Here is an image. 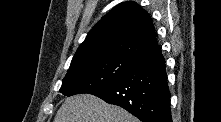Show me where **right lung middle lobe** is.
<instances>
[{
	"label": "right lung middle lobe",
	"mask_w": 221,
	"mask_h": 122,
	"mask_svg": "<svg viewBox=\"0 0 221 122\" xmlns=\"http://www.w3.org/2000/svg\"><path fill=\"white\" fill-rule=\"evenodd\" d=\"M135 61L121 56H106L70 66L60 92L69 97L99 90L120 79Z\"/></svg>",
	"instance_id": "obj_1"
}]
</instances>
